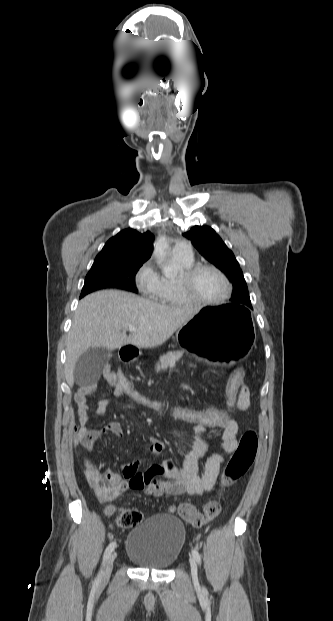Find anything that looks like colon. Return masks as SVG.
I'll return each mask as SVG.
<instances>
[{
    "label": "colon",
    "mask_w": 333,
    "mask_h": 621,
    "mask_svg": "<svg viewBox=\"0 0 333 621\" xmlns=\"http://www.w3.org/2000/svg\"><path fill=\"white\" fill-rule=\"evenodd\" d=\"M106 376L114 377L122 395L135 404L149 408L156 412L167 414L185 424L202 425L210 428H221L230 419L232 413L237 410L238 395L244 385L245 372L242 367L235 369L230 375L226 386L225 408H192L168 400L153 397L140 390L122 372L106 371ZM258 448V438L254 430H247L241 437L239 445L230 457L221 480L223 488H227L241 479L251 468ZM84 475L98 499L102 502L109 501L116 492L115 482L91 460H84ZM174 510L179 516L194 527H202L214 520L221 512V504L217 499L208 501L203 512H200L190 503H182ZM108 516L114 515L115 522L123 528L138 525L143 520V514L137 509H121L116 511L113 507L106 509Z\"/></svg>",
    "instance_id": "obj_1"
}]
</instances>
